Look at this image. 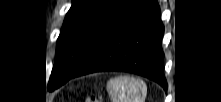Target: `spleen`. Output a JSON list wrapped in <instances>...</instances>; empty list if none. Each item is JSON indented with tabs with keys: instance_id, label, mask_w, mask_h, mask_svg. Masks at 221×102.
Segmentation results:
<instances>
[{
	"instance_id": "1",
	"label": "spleen",
	"mask_w": 221,
	"mask_h": 102,
	"mask_svg": "<svg viewBox=\"0 0 221 102\" xmlns=\"http://www.w3.org/2000/svg\"><path fill=\"white\" fill-rule=\"evenodd\" d=\"M112 102H144L147 86L141 79L132 76H117L107 83Z\"/></svg>"
}]
</instances>
